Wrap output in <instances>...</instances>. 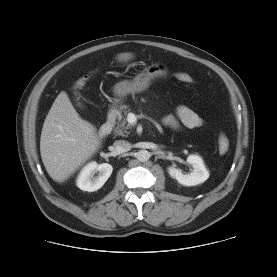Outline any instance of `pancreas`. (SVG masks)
<instances>
[{
  "label": "pancreas",
  "mask_w": 277,
  "mask_h": 277,
  "mask_svg": "<svg viewBox=\"0 0 277 277\" xmlns=\"http://www.w3.org/2000/svg\"><path fill=\"white\" fill-rule=\"evenodd\" d=\"M128 113H127V110L124 111V115L126 116ZM128 125H127V119L120 116V119L119 121L117 122V127H116V134L117 135H121V136H125L127 135V129H128Z\"/></svg>",
  "instance_id": "1"
}]
</instances>
